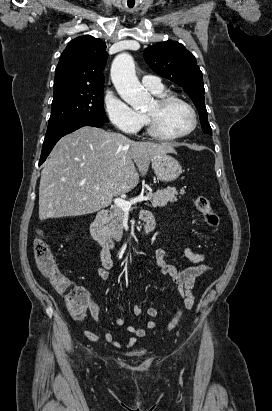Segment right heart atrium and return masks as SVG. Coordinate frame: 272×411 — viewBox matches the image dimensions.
I'll return each mask as SVG.
<instances>
[{
    "instance_id": "d8ad5b80",
    "label": "right heart atrium",
    "mask_w": 272,
    "mask_h": 411,
    "mask_svg": "<svg viewBox=\"0 0 272 411\" xmlns=\"http://www.w3.org/2000/svg\"><path fill=\"white\" fill-rule=\"evenodd\" d=\"M104 107L111 123L125 133H136L144 124V117L111 89L105 93Z\"/></svg>"
}]
</instances>
